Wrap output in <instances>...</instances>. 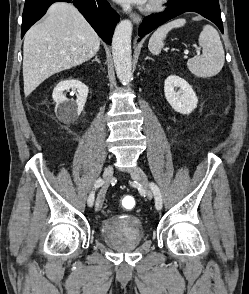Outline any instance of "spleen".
<instances>
[{
  "mask_svg": "<svg viewBox=\"0 0 249 294\" xmlns=\"http://www.w3.org/2000/svg\"><path fill=\"white\" fill-rule=\"evenodd\" d=\"M186 20L174 19L160 26L152 34L148 48L154 55H158L164 46L163 40L173 28L184 26ZM199 45L202 47V55L189 59L188 69L197 77L207 78L217 75L225 62V54L220 36L211 25H205L199 36Z\"/></svg>",
  "mask_w": 249,
  "mask_h": 294,
  "instance_id": "3e777b00",
  "label": "spleen"
}]
</instances>
